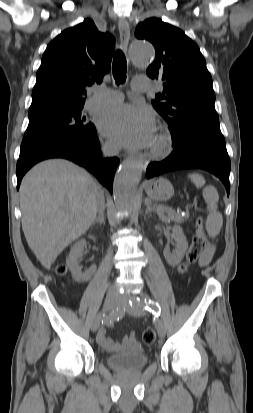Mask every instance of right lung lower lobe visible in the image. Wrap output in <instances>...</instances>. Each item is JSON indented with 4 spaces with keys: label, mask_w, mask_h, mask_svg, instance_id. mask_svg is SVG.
I'll return each mask as SVG.
<instances>
[{
    "label": "right lung lower lobe",
    "mask_w": 253,
    "mask_h": 413,
    "mask_svg": "<svg viewBox=\"0 0 253 413\" xmlns=\"http://www.w3.org/2000/svg\"><path fill=\"white\" fill-rule=\"evenodd\" d=\"M49 158H65L85 167L112 193L113 178L119 159L101 158L96 129L84 136L49 140L21 148L17 162V189L24 174L36 163Z\"/></svg>",
    "instance_id": "obj_1"
}]
</instances>
